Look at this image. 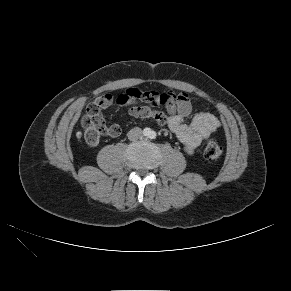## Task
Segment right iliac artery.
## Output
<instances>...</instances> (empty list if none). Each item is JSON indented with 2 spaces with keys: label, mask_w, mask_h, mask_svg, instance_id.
<instances>
[{
  "label": "right iliac artery",
  "mask_w": 291,
  "mask_h": 291,
  "mask_svg": "<svg viewBox=\"0 0 291 291\" xmlns=\"http://www.w3.org/2000/svg\"><path fill=\"white\" fill-rule=\"evenodd\" d=\"M149 132H150L149 129H145V130H144V134H145V135L149 134Z\"/></svg>",
  "instance_id": "right-iliac-artery-1"
}]
</instances>
